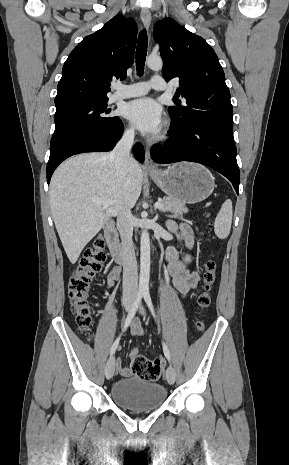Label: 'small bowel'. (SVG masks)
Returning a JSON list of instances; mask_svg holds the SVG:
<instances>
[{
  "mask_svg": "<svg viewBox=\"0 0 289 465\" xmlns=\"http://www.w3.org/2000/svg\"><path fill=\"white\" fill-rule=\"evenodd\" d=\"M168 228L171 232L176 233L180 239V247L187 249L193 246L194 242V230L186 225H177L173 222L168 223ZM167 268L172 278L173 285L181 293V295H187L191 290L197 288L200 275L197 271L192 270L186 266V264L180 259L179 247H170L166 252ZM119 270L117 268L111 269L107 274V288H111L115 281L119 278ZM131 332L135 336H142L144 331L141 327V322L138 318H135L130 326ZM116 368L120 375L127 377L131 375V370L128 367L121 365V360L116 359Z\"/></svg>",
  "mask_w": 289,
  "mask_h": 465,
  "instance_id": "obj_1",
  "label": "small bowel"
}]
</instances>
